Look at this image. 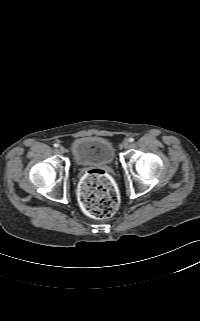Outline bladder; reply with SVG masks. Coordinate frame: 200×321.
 I'll use <instances>...</instances> for the list:
<instances>
[{"instance_id":"obj_1","label":"bladder","mask_w":200,"mask_h":321,"mask_svg":"<svg viewBox=\"0 0 200 321\" xmlns=\"http://www.w3.org/2000/svg\"><path fill=\"white\" fill-rule=\"evenodd\" d=\"M71 154L78 165H108L115 159V147L104 137L88 136L71 144Z\"/></svg>"}]
</instances>
